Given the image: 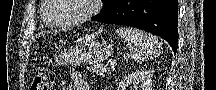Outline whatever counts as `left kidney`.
Returning <instances> with one entry per match:
<instances>
[{"label":"left kidney","instance_id":"obj_1","mask_svg":"<svg viewBox=\"0 0 216 90\" xmlns=\"http://www.w3.org/2000/svg\"><path fill=\"white\" fill-rule=\"evenodd\" d=\"M152 74L148 70L128 74L119 82L118 90H152Z\"/></svg>","mask_w":216,"mask_h":90}]
</instances>
